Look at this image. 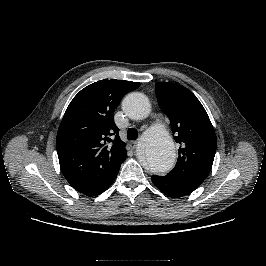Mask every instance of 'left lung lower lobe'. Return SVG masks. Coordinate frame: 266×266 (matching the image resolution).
Returning a JSON list of instances; mask_svg holds the SVG:
<instances>
[{"mask_svg": "<svg viewBox=\"0 0 266 266\" xmlns=\"http://www.w3.org/2000/svg\"><path fill=\"white\" fill-rule=\"evenodd\" d=\"M152 182L164 194L173 198L185 196L198 188L168 174L166 176L152 175Z\"/></svg>", "mask_w": 266, "mask_h": 266, "instance_id": "1", "label": "left lung lower lobe"}]
</instances>
